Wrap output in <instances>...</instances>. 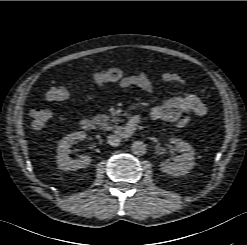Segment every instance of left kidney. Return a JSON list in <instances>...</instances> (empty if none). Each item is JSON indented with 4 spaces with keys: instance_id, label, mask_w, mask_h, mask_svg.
<instances>
[{
    "instance_id": "left-kidney-1",
    "label": "left kidney",
    "mask_w": 247,
    "mask_h": 245,
    "mask_svg": "<svg viewBox=\"0 0 247 245\" xmlns=\"http://www.w3.org/2000/svg\"><path fill=\"white\" fill-rule=\"evenodd\" d=\"M170 143L175 145L182 155H178L174 158V162H163L160 165L162 172L172 176H179L187 174L194 166V149L181 139L171 138Z\"/></svg>"
}]
</instances>
